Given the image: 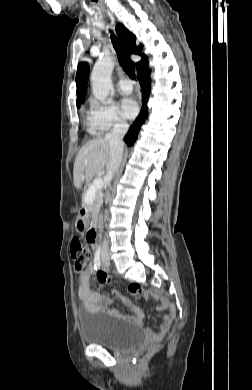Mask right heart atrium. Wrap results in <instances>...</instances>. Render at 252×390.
<instances>
[{
	"instance_id": "d8ad5b80",
	"label": "right heart atrium",
	"mask_w": 252,
	"mask_h": 390,
	"mask_svg": "<svg viewBox=\"0 0 252 390\" xmlns=\"http://www.w3.org/2000/svg\"><path fill=\"white\" fill-rule=\"evenodd\" d=\"M89 123L92 132L98 133L121 130L128 126L126 119L114 105L95 100L91 102Z\"/></svg>"
}]
</instances>
